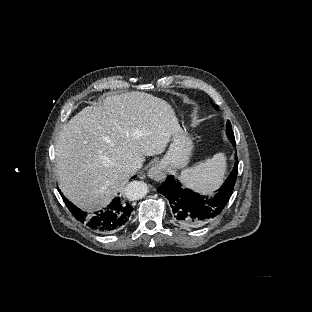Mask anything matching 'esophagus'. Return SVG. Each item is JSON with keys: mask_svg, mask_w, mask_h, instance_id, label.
Here are the masks:
<instances>
[{"mask_svg": "<svg viewBox=\"0 0 312 312\" xmlns=\"http://www.w3.org/2000/svg\"><path fill=\"white\" fill-rule=\"evenodd\" d=\"M147 175L149 178H151L152 180L157 181V182L162 181L166 177L165 171L160 164H156V165L152 166L148 170Z\"/></svg>", "mask_w": 312, "mask_h": 312, "instance_id": "obj_1", "label": "esophagus"}]
</instances>
